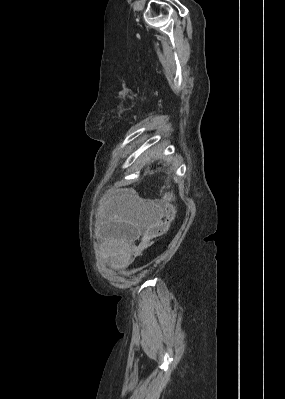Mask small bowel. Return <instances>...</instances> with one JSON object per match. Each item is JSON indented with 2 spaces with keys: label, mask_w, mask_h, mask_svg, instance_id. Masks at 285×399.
<instances>
[{
  "label": "small bowel",
  "mask_w": 285,
  "mask_h": 399,
  "mask_svg": "<svg viewBox=\"0 0 285 399\" xmlns=\"http://www.w3.org/2000/svg\"><path fill=\"white\" fill-rule=\"evenodd\" d=\"M157 201L149 199L135 200V209L131 211L128 226L132 229L130 232V241L122 247L121 259L127 261L134 254L136 243L148 237L154 226L158 222V214L154 211Z\"/></svg>",
  "instance_id": "small-bowel-1"
}]
</instances>
